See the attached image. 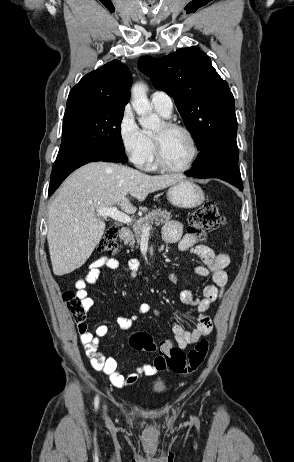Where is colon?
<instances>
[{
	"label": "colon",
	"mask_w": 294,
	"mask_h": 462,
	"mask_svg": "<svg viewBox=\"0 0 294 462\" xmlns=\"http://www.w3.org/2000/svg\"><path fill=\"white\" fill-rule=\"evenodd\" d=\"M223 221L219 204L214 201L206 202L192 214L188 234L202 240L207 232L215 230ZM117 235L118 229L114 226L109 227L99 243L98 250L111 256L118 254ZM62 297L74 321L78 324L83 323L86 317L82 300L72 291H65ZM129 342L136 350L146 352L157 350V345L152 337L145 333H134ZM208 349L209 344L205 340L199 341L188 352H184L168 342H162L159 347V355L154 358L153 364L160 370L169 369L182 374L192 373L204 362Z\"/></svg>",
	"instance_id": "obj_1"
}]
</instances>
